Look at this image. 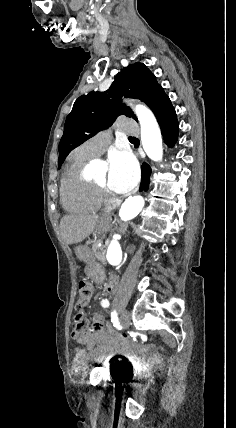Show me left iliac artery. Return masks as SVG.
<instances>
[{"mask_svg": "<svg viewBox=\"0 0 236 428\" xmlns=\"http://www.w3.org/2000/svg\"><path fill=\"white\" fill-rule=\"evenodd\" d=\"M101 305H102L104 308H105V307H108V306H109V302H108V300H107V299L102 300Z\"/></svg>", "mask_w": 236, "mask_h": 428, "instance_id": "1", "label": "left iliac artery"}]
</instances>
